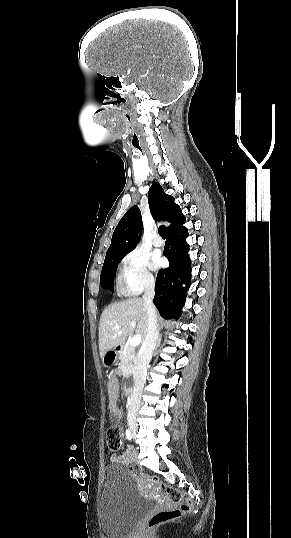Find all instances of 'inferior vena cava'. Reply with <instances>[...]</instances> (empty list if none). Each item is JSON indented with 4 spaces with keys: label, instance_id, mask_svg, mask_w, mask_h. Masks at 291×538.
<instances>
[{
    "label": "inferior vena cava",
    "instance_id": "602c4592",
    "mask_svg": "<svg viewBox=\"0 0 291 538\" xmlns=\"http://www.w3.org/2000/svg\"><path fill=\"white\" fill-rule=\"evenodd\" d=\"M154 280H148L145 284L143 300L147 311V333L140 349V359L138 372L135 379V386L132 393L131 401L128 406L127 420L128 423H135L136 416L141 405V394L146 381L147 368L152 359L153 351L156 348L159 331L157 326V312L153 304L154 298Z\"/></svg>",
    "mask_w": 291,
    "mask_h": 538
}]
</instances>
